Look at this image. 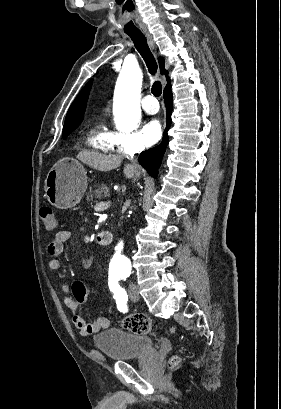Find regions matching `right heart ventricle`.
<instances>
[{"label":"right heart ventricle","instance_id":"right-heart-ventricle-1","mask_svg":"<svg viewBox=\"0 0 281 409\" xmlns=\"http://www.w3.org/2000/svg\"><path fill=\"white\" fill-rule=\"evenodd\" d=\"M90 143L92 149L100 154L105 155L114 151L116 145L114 143L113 132L103 122H97L90 132ZM121 152H128L125 149L118 147Z\"/></svg>","mask_w":281,"mask_h":409}]
</instances>
